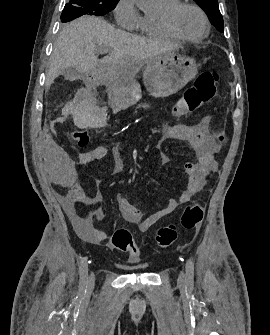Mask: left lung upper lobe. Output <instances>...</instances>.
I'll use <instances>...</instances> for the list:
<instances>
[{
    "label": "left lung upper lobe",
    "mask_w": 270,
    "mask_h": 335,
    "mask_svg": "<svg viewBox=\"0 0 270 335\" xmlns=\"http://www.w3.org/2000/svg\"><path fill=\"white\" fill-rule=\"evenodd\" d=\"M196 3L205 11L211 24L223 32V18L218 7V0H195Z\"/></svg>",
    "instance_id": "obj_1"
}]
</instances>
